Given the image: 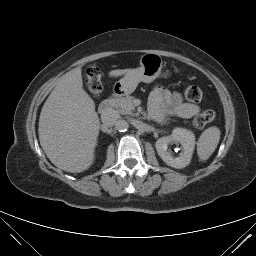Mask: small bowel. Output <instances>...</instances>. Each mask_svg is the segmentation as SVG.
Instances as JSON below:
<instances>
[{
    "mask_svg": "<svg viewBox=\"0 0 256 256\" xmlns=\"http://www.w3.org/2000/svg\"><path fill=\"white\" fill-rule=\"evenodd\" d=\"M199 112L198 105L185 102L178 92L157 86L150 94L149 113L158 123H165L170 117L191 118Z\"/></svg>",
    "mask_w": 256,
    "mask_h": 256,
    "instance_id": "1",
    "label": "small bowel"
}]
</instances>
